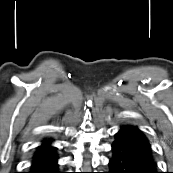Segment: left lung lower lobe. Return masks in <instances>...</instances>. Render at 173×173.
<instances>
[{
  "label": "left lung lower lobe",
  "instance_id": "obj_1",
  "mask_svg": "<svg viewBox=\"0 0 173 173\" xmlns=\"http://www.w3.org/2000/svg\"><path fill=\"white\" fill-rule=\"evenodd\" d=\"M107 173H158L151 152L118 141L112 144V157Z\"/></svg>",
  "mask_w": 173,
  "mask_h": 173
}]
</instances>
